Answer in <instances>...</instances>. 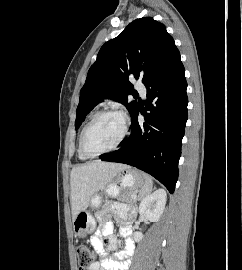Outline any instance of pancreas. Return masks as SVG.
Instances as JSON below:
<instances>
[{
  "mask_svg": "<svg viewBox=\"0 0 242 270\" xmlns=\"http://www.w3.org/2000/svg\"><path fill=\"white\" fill-rule=\"evenodd\" d=\"M135 195H136V193H134V192H125L123 194L122 199H123V201H125L131 205H135L136 204Z\"/></svg>",
  "mask_w": 242,
  "mask_h": 270,
  "instance_id": "1",
  "label": "pancreas"
}]
</instances>
